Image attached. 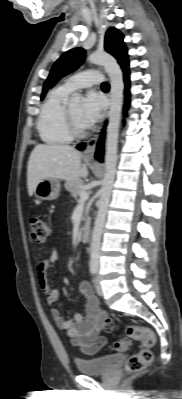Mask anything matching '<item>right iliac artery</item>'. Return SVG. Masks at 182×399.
Returning a JSON list of instances; mask_svg holds the SVG:
<instances>
[{
    "label": "right iliac artery",
    "mask_w": 182,
    "mask_h": 399,
    "mask_svg": "<svg viewBox=\"0 0 182 399\" xmlns=\"http://www.w3.org/2000/svg\"><path fill=\"white\" fill-rule=\"evenodd\" d=\"M96 272V269H91V274L94 275Z\"/></svg>",
    "instance_id": "82829eb1"
}]
</instances>
